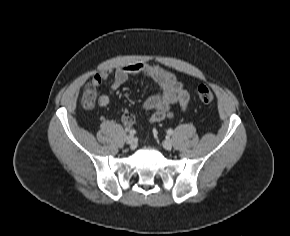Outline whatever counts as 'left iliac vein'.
Segmentation results:
<instances>
[{
  "label": "left iliac vein",
  "mask_w": 290,
  "mask_h": 236,
  "mask_svg": "<svg viewBox=\"0 0 290 236\" xmlns=\"http://www.w3.org/2000/svg\"><path fill=\"white\" fill-rule=\"evenodd\" d=\"M173 146V142L172 140L170 139H166L163 141V147L166 149V150H170Z\"/></svg>",
  "instance_id": "left-iliac-vein-1"
}]
</instances>
